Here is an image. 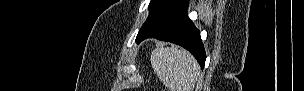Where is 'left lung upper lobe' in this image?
<instances>
[{
  "label": "left lung upper lobe",
  "instance_id": "1",
  "mask_svg": "<svg viewBox=\"0 0 304 91\" xmlns=\"http://www.w3.org/2000/svg\"><path fill=\"white\" fill-rule=\"evenodd\" d=\"M170 0H151L149 4V16L147 17V20L142 25L141 29L138 32V35L136 37V42L141 38V36L147 32L151 26L155 23L158 16L161 14L165 6L169 3Z\"/></svg>",
  "mask_w": 304,
  "mask_h": 91
}]
</instances>
